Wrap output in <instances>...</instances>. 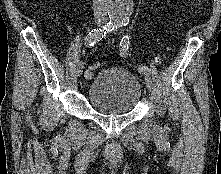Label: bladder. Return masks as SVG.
Returning <instances> with one entry per match:
<instances>
[{"instance_id": "obj_1", "label": "bladder", "mask_w": 221, "mask_h": 174, "mask_svg": "<svg viewBox=\"0 0 221 174\" xmlns=\"http://www.w3.org/2000/svg\"><path fill=\"white\" fill-rule=\"evenodd\" d=\"M142 89L137 78L123 67L100 70L90 81L87 99L102 114H127L140 101Z\"/></svg>"}]
</instances>
